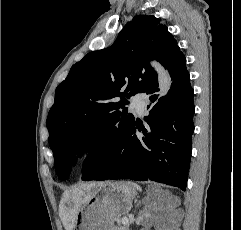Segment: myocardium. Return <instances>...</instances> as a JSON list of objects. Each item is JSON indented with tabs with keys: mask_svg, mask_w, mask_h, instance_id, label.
Listing matches in <instances>:
<instances>
[{
	"mask_svg": "<svg viewBox=\"0 0 241 230\" xmlns=\"http://www.w3.org/2000/svg\"><path fill=\"white\" fill-rule=\"evenodd\" d=\"M96 150H97L96 143L88 140L82 141L74 147L72 151V157L74 159H81L94 153Z\"/></svg>",
	"mask_w": 241,
	"mask_h": 230,
	"instance_id": "obj_1",
	"label": "myocardium"
}]
</instances>
